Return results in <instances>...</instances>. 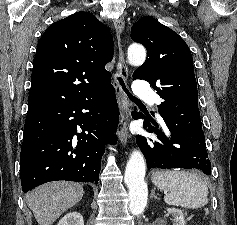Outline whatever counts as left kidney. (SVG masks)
Wrapping results in <instances>:
<instances>
[{"mask_svg": "<svg viewBox=\"0 0 237 225\" xmlns=\"http://www.w3.org/2000/svg\"><path fill=\"white\" fill-rule=\"evenodd\" d=\"M168 214L172 216V225H186L183 212L177 208H168Z\"/></svg>", "mask_w": 237, "mask_h": 225, "instance_id": "obj_1", "label": "left kidney"}]
</instances>
